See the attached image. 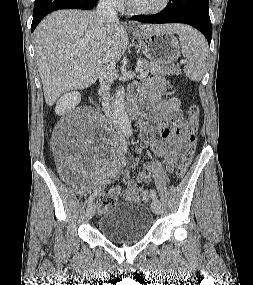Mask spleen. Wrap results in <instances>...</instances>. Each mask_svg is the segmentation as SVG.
I'll use <instances>...</instances> for the list:
<instances>
[{"mask_svg":"<svg viewBox=\"0 0 253 285\" xmlns=\"http://www.w3.org/2000/svg\"><path fill=\"white\" fill-rule=\"evenodd\" d=\"M178 34L182 55L187 61L184 72L191 81L199 82L206 69V52L208 50L206 39L189 26H185Z\"/></svg>","mask_w":253,"mask_h":285,"instance_id":"1","label":"spleen"}]
</instances>
